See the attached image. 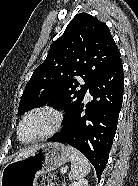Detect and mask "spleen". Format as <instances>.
<instances>
[{
  "mask_svg": "<svg viewBox=\"0 0 138 186\" xmlns=\"http://www.w3.org/2000/svg\"><path fill=\"white\" fill-rule=\"evenodd\" d=\"M70 154L71 170L69 172L70 180H79L90 172V163L87 158L78 150L71 146L66 147Z\"/></svg>",
  "mask_w": 138,
  "mask_h": 186,
  "instance_id": "spleen-1",
  "label": "spleen"
}]
</instances>
